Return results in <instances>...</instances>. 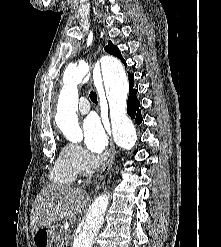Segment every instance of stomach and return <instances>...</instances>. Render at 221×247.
Listing matches in <instances>:
<instances>
[{
  "mask_svg": "<svg viewBox=\"0 0 221 247\" xmlns=\"http://www.w3.org/2000/svg\"><path fill=\"white\" fill-rule=\"evenodd\" d=\"M53 230L49 227L40 228L32 235V244L34 247H52Z\"/></svg>",
  "mask_w": 221,
  "mask_h": 247,
  "instance_id": "1",
  "label": "stomach"
}]
</instances>
